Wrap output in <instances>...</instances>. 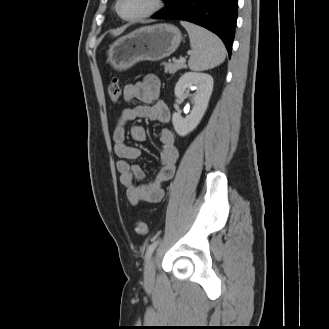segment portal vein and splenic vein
<instances>
[{
    "mask_svg": "<svg viewBox=\"0 0 329 329\" xmlns=\"http://www.w3.org/2000/svg\"><path fill=\"white\" fill-rule=\"evenodd\" d=\"M179 62L185 63V62H186V60H185V58H184V57H180V58H179Z\"/></svg>",
    "mask_w": 329,
    "mask_h": 329,
    "instance_id": "1",
    "label": "portal vein and splenic vein"
}]
</instances>
